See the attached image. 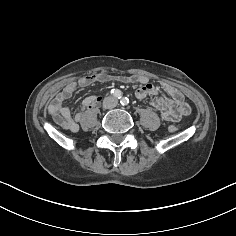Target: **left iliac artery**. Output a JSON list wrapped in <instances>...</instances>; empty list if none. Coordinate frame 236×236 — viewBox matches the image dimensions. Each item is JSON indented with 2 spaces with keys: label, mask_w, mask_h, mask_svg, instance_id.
I'll list each match as a JSON object with an SVG mask.
<instances>
[{
  "label": "left iliac artery",
  "mask_w": 236,
  "mask_h": 236,
  "mask_svg": "<svg viewBox=\"0 0 236 236\" xmlns=\"http://www.w3.org/2000/svg\"><path fill=\"white\" fill-rule=\"evenodd\" d=\"M120 103L125 106L129 103V99L127 97H123L120 101Z\"/></svg>",
  "instance_id": "obj_1"
}]
</instances>
